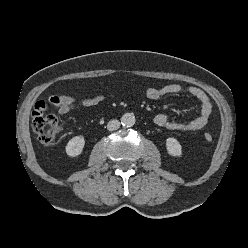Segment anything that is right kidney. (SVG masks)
I'll use <instances>...</instances> for the list:
<instances>
[{
  "label": "right kidney",
  "instance_id": "ca27d5eb",
  "mask_svg": "<svg viewBox=\"0 0 248 248\" xmlns=\"http://www.w3.org/2000/svg\"><path fill=\"white\" fill-rule=\"evenodd\" d=\"M85 140L83 136L73 137L66 145V153L70 157H76L83 151Z\"/></svg>",
  "mask_w": 248,
  "mask_h": 248
}]
</instances>
